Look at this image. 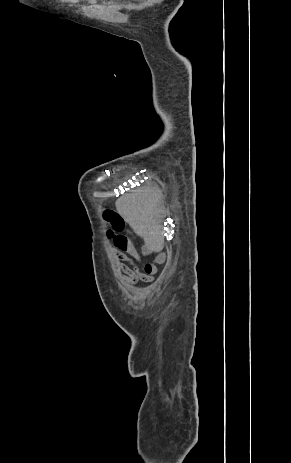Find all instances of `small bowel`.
Here are the masks:
<instances>
[{"label": "small bowel", "mask_w": 291, "mask_h": 463, "mask_svg": "<svg viewBox=\"0 0 291 463\" xmlns=\"http://www.w3.org/2000/svg\"><path fill=\"white\" fill-rule=\"evenodd\" d=\"M111 237L114 243V253L118 259V266L122 272L121 280L126 284H137L139 281L145 283L153 282L154 275L157 272L156 264L162 263L164 256L162 254L157 255L153 262L145 265V272H142L139 268L142 257L152 253L154 249L151 246L145 245L141 250H138L127 235ZM126 262H129L132 267ZM148 265L152 267L151 270H147Z\"/></svg>", "instance_id": "obj_1"}]
</instances>
